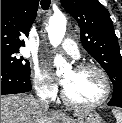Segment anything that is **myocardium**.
Instances as JSON below:
<instances>
[{"mask_svg":"<svg viewBox=\"0 0 122 123\" xmlns=\"http://www.w3.org/2000/svg\"><path fill=\"white\" fill-rule=\"evenodd\" d=\"M74 69L77 70V71L84 70V69H94V70H96L104 80L105 93L100 99H98L96 101H93V102H79V101H75L72 98H70V96L67 94V91H66L65 87H63V89L61 91V96H62L63 101L66 104H68L70 106H73V107L94 108V107L102 105L103 103H105L109 99V97L111 95V92H112V84H111V80H110L108 74L106 73V71L102 67H100L97 64L90 63V62H81V63H78L74 67Z\"/></svg>","mask_w":122,"mask_h":123,"instance_id":"f54148a6","label":"myocardium"}]
</instances>
